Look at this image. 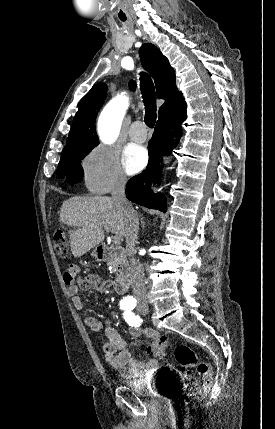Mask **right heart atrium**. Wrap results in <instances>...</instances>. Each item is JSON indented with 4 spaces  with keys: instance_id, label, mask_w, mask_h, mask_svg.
Instances as JSON below:
<instances>
[{
    "instance_id": "obj_1",
    "label": "right heart atrium",
    "mask_w": 275,
    "mask_h": 429,
    "mask_svg": "<svg viewBox=\"0 0 275 429\" xmlns=\"http://www.w3.org/2000/svg\"><path fill=\"white\" fill-rule=\"evenodd\" d=\"M81 169L84 184L93 193H108L126 183L118 154L104 145L95 146L83 157Z\"/></svg>"
}]
</instances>
